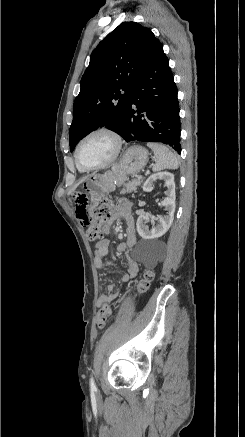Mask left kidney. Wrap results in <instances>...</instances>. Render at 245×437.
Returning a JSON list of instances; mask_svg holds the SVG:
<instances>
[{"instance_id":"left-kidney-1","label":"left kidney","mask_w":245,"mask_h":437,"mask_svg":"<svg viewBox=\"0 0 245 437\" xmlns=\"http://www.w3.org/2000/svg\"><path fill=\"white\" fill-rule=\"evenodd\" d=\"M163 180L167 187L166 198L161 202V205L165 207L167 215L159 218L156 227L151 230L146 225L148 221V215L142 214L137 219V232L145 240H151L163 236L171 227L174 220L175 212V182L174 175L170 172H159L151 175L143 185V191L151 192L153 190V183L156 180Z\"/></svg>"}]
</instances>
